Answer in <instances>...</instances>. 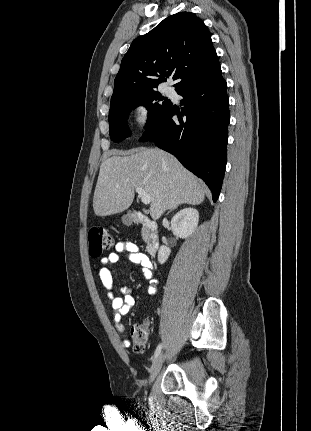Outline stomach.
I'll use <instances>...</instances> for the list:
<instances>
[{
	"label": "stomach",
	"mask_w": 311,
	"mask_h": 431,
	"mask_svg": "<svg viewBox=\"0 0 311 431\" xmlns=\"http://www.w3.org/2000/svg\"><path fill=\"white\" fill-rule=\"evenodd\" d=\"M122 221H123V223H125V225H132V219H131V217H125V216H123L122 217Z\"/></svg>",
	"instance_id": "1"
}]
</instances>
